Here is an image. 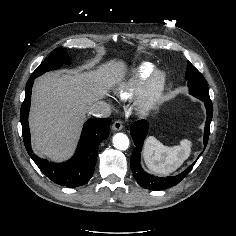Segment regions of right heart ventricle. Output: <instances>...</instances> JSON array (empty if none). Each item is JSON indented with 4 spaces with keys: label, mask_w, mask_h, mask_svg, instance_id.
Returning a JSON list of instances; mask_svg holds the SVG:
<instances>
[{
    "label": "right heart ventricle",
    "mask_w": 236,
    "mask_h": 236,
    "mask_svg": "<svg viewBox=\"0 0 236 236\" xmlns=\"http://www.w3.org/2000/svg\"><path fill=\"white\" fill-rule=\"evenodd\" d=\"M155 72V66L149 62L140 64L132 76L120 85L117 95L122 100L133 99L145 86L150 76Z\"/></svg>",
    "instance_id": "right-heart-ventricle-1"
}]
</instances>
